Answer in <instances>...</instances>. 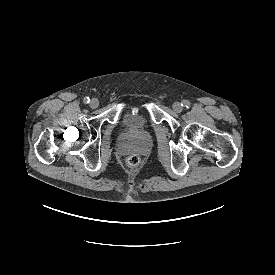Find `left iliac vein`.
<instances>
[{
	"label": "left iliac vein",
	"mask_w": 275,
	"mask_h": 275,
	"mask_svg": "<svg viewBox=\"0 0 275 275\" xmlns=\"http://www.w3.org/2000/svg\"><path fill=\"white\" fill-rule=\"evenodd\" d=\"M172 107H173V110L176 112H181L183 110V107H182L181 103H179V102L173 103Z\"/></svg>",
	"instance_id": "left-iliac-vein-1"
}]
</instances>
